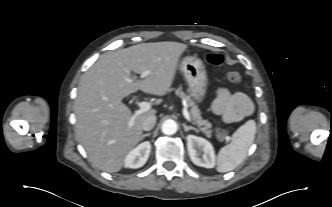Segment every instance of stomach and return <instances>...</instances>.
Wrapping results in <instances>:
<instances>
[{
	"label": "stomach",
	"mask_w": 332,
	"mask_h": 207,
	"mask_svg": "<svg viewBox=\"0 0 332 207\" xmlns=\"http://www.w3.org/2000/svg\"><path fill=\"white\" fill-rule=\"evenodd\" d=\"M180 70L188 83L192 98L200 103L204 100L207 92V73L205 65L196 56H187L180 63Z\"/></svg>",
	"instance_id": "1"
}]
</instances>
